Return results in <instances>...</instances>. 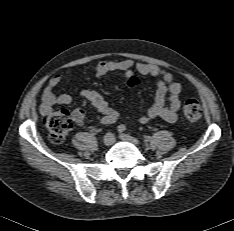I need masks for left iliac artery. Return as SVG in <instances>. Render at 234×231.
Listing matches in <instances>:
<instances>
[{
  "label": "left iliac artery",
  "mask_w": 234,
  "mask_h": 231,
  "mask_svg": "<svg viewBox=\"0 0 234 231\" xmlns=\"http://www.w3.org/2000/svg\"><path fill=\"white\" fill-rule=\"evenodd\" d=\"M125 130H126V126L125 125L121 124V125L118 126V131L119 132H123ZM148 138H149V136H144V139H148Z\"/></svg>",
  "instance_id": "left-iliac-artery-1"
}]
</instances>
